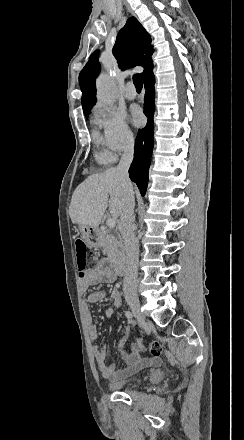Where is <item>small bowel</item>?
Returning a JSON list of instances; mask_svg holds the SVG:
<instances>
[{"mask_svg":"<svg viewBox=\"0 0 244 440\" xmlns=\"http://www.w3.org/2000/svg\"><path fill=\"white\" fill-rule=\"evenodd\" d=\"M117 279V275L105 260H101L98 265L86 271L85 275L80 280V290L87 292L90 287L102 284L111 283ZM106 292L102 290H95L88 294L86 302L83 306V319L87 327L88 336L91 340H96L98 337V326L94 321L93 315L88 308V304H95L104 299ZM110 299L114 306L119 307L122 303V295L117 287L110 290ZM131 335V327H126L121 341L117 345V352L121 355L124 364L118 366L115 363H106V348L101 345L93 347V355L97 363V368L102 378L109 381H123L143 368L151 364H157L156 357L143 356L144 347L140 342H135L131 345L129 350H126L124 345Z\"/></svg>","mask_w":244,"mask_h":440,"instance_id":"obj_1","label":"small bowel"}]
</instances>
